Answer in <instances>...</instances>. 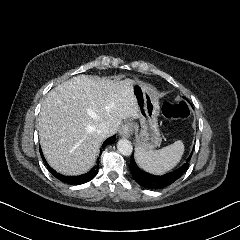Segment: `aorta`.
Masks as SVG:
<instances>
[{"label": "aorta", "mask_w": 240, "mask_h": 240, "mask_svg": "<svg viewBox=\"0 0 240 240\" xmlns=\"http://www.w3.org/2000/svg\"><path fill=\"white\" fill-rule=\"evenodd\" d=\"M117 149L122 155L129 156L132 153L133 147L129 140L120 139L117 143Z\"/></svg>", "instance_id": "obj_1"}]
</instances>
